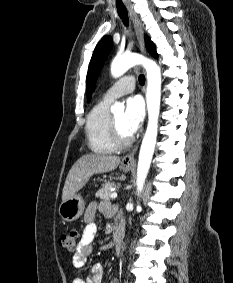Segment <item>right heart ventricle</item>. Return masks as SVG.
Returning <instances> with one entry per match:
<instances>
[{"label":"right heart ventricle","mask_w":233,"mask_h":283,"mask_svg":"<svg viewBox=\"0 0 233 283\" xmlns=\"http://www.w3.org/2000/svg\"><path fill=\"white\" fill-rule=\"evenodd\" d=\"M110 102L98 101L87 116L86 137L90 150L96 154H111L116 150L110 138Z\"/></svg>","instance_id":"e07e8e85"}]
</instances>
